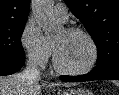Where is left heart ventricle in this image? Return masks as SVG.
I'll list each match as a JSON object with an SVG mask.
<instances>
[{
    "label": "left heart ventricle",
    "mask_w": 119,
    "mask_h": 95,
    "mask_svg": "<svg viewBox=\"0 0 119 95\" xmlns=\"http://www.w3.org/2000/svg\"><path fill=\"white\" fill-rule=\"evenodd\" d=\"M53 45L58 61L68 69L84 68L91 60L92 48L82 35L63 31Z\"/></svg>",
    "instance_id": "1"
}]
</instances>
